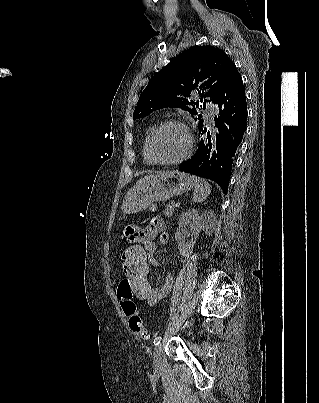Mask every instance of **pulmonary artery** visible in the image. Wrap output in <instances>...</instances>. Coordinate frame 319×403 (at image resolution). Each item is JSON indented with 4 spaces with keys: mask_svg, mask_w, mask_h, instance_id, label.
Here are the masks:
<instances>
[{
    "mask_svg": "<svg viewBox=\"0 0 319 403\" xmlns=\"http://www.w3.org/2000/svg\"><path fill=\"white\" fill-rule=\"evenodd\" d=\"M207 120H208L209 122H213V111H212V109H209V110L207 111Z\"/></svg>",
    "mask_w": 319,
    "mask_h": 403,
    "instance_id": "obj_1",
    "label": "pulmonary artery"
}]
</instances>
